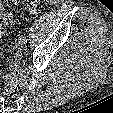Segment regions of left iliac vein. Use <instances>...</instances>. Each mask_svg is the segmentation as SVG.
I'll return each mask as SVG.
<instances>
[{
	"mask_svg": "<svg viewBox=\"0 0 113 113\" xmlns=\"http://www.w3.org/2000/svg\"><path fill=\"white\" fill-rule=\"evenodd\" d=\"M24 45H25V43L22 40H20L16 43V47L20 50L23 49Z\"/></svg>",
	"mask_w": 113,
	"mask_h": 113,
	"instance_id": "left-iliac-vein-1",
	"label": "left iliac vein"
}]
</instances>
